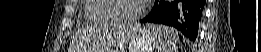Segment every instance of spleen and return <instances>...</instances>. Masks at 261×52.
<instances>
[{"mask_svg": "<svg viewBox=\"0 0 261 52\" xmlns=\"http://www.w3.org/2000/svg\"><path fill=\"white\" fill-rule=\"evenodd\" d=\"M152 30L157 40L158 52H173L176 50L177 35L174 30H168L166 27L151 25L148 27Z\"/></svg>", "mask_w": 261, "mask_h": 52, "instance_id": "1", "label": "spleen"}]
</instances>
